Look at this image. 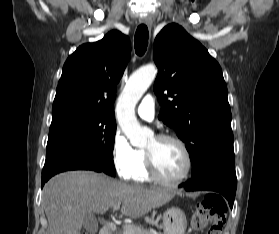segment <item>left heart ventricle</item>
Returning a JSON list of instances; mask_svg holds the SVG:
<instances>
[{
  "mask_svg": "<svg viewBox=\"0 0 279 234\" xmlns=\"http://www.w3.org/2000/svg\"><path fill=\"white\" fill-rule=\"evenodd\" d=\"M146 149L154 152L158 171L164 178L175 180L184 172L186 161L177 144L170 141L157 142L153 138Z\"/></svg>",
  "mask_w": 279,
  "mask_h": 234,
  "instance_id": "left-heart-ventricle-1",
  "label": "left heart ventricle"
}]
</instances>
